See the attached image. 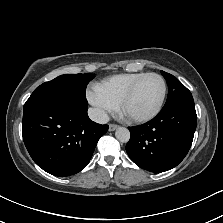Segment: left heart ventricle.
<instances>
[{"instance_id": "b2bd125f", "label": "left heart ventricle", "mask_w": 223, "mask_h": 223, "mask_svg": "<svg viewBox=\"0 0 223 223\" xmlns=\"http://www.w3.org/2000/svg\"><path fill=\"white\" fill-rule=\"evenodd\" d=\"M161 92V81L155 76L147 77L130 100L121 108V111L132 116L147 115L157 106Z\"/></svg>"}]
</instances>
